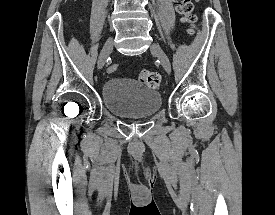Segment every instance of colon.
<instances>
[{
	"label": "colon",
	"instance_id": "5ec220e1",
	"mask_svg": "<svg viewBox=\"0 0 275 215\" xmlns=\"http://www.w3.org/2000/svg\"><path fill=\"white\" fill-rule=\"evenodd\" d=\"M175 2L177 11L183 16V19L189 23H193L195 21L193 0H175ZM190 32H192V29ZM117 69L118 66L116 64H111L108 67V73H114ZM138 79L152 89H159L162 85V77L155 71L141 70Z\"/></svg>",
	"mask_w": 275,
	"mask_h": 215
}]
</instances>
